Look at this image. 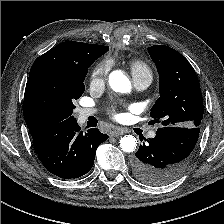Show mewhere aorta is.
Wrapping results in <instances>:
<instances>
[{"mask_svg": "<svg viewBox=\"0 0 224 224\" xmlns=\"http://www.w3.org/2000/svg\"><path fill=\"white\" fill-rule=\"evenodd\" d=\"M109 85L114 91L120 93H127L131 90L130 80L121 70L110 73ZM120 147L124 152H133L137 147V140L132 135H125L120 140Z\"/></svg>", "mask_w": 224, "mask_h": 224, "instance_id": "obj_1", "label": "aorta"}]
</instances>
